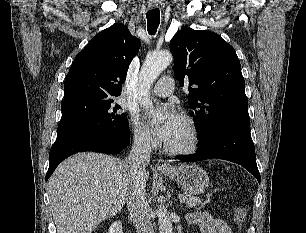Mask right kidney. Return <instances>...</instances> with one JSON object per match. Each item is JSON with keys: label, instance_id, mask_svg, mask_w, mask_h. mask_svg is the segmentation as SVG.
I'll use <instances>...</instances> for the list:
<instances>
[{"label": "right kidney", "instance_id": "1", "mask_svg": "<svg viewBox=\"0 0 306 233\" xmlns=\"http://www.w3.org/2000/svg\"><path fill=\"white\" fill-rule=\"evenodd\" d=\"M108 233H123L122 224L120 221H115L108 230Z\"/></svg>", "mask_w": 306, "mask_h": 233}]
</instances>
